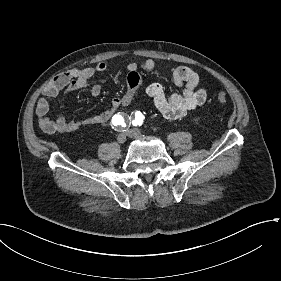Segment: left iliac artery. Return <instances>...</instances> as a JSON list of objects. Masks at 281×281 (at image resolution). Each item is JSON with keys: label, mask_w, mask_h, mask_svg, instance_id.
<instances>
[{"label": "left iliac artery", "mask_w": 281, "mask_h": 281, "mask_svg": "<svg viewBox=\"0 0 281 281\" xmlns=\"http://www.w3.org/2000/svg\"><path fill=\"white\" fill-rule=\"evenodd\" d=\"M130 119L134 126H140L143 123L144 116L140 111H136L135 114L130 117Z\"/></svg>", "instance_id": "1"}]
</instances>
